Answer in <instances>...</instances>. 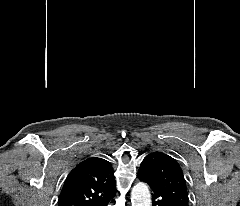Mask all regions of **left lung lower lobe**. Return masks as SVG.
<instances>
[{"label": "left lung lower lobe", "mask_w": 240, "mask_h": 206, "mask_svg": "<svg viewBox=\"0 0 240 206\" xmlns=\"http://www.w3.org/2000/svg\"><path fill=\"white\" fill-rule=\"evenodd\" d=\"M138 178L140 179V181H144L150 185L153 192L152 193V197L154 200L153 206H173L170 203V201L165 196H163V194L159 190H157L154 186H152L147 174L143 170L138 171Z\"/></svg>", "instance_id": "0a47b994"}]
</instances>
